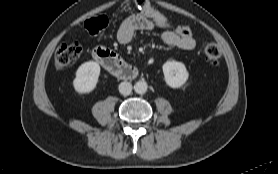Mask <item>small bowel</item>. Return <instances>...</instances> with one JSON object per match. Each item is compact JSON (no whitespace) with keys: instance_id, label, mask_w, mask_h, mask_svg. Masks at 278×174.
Returning <instances> with one entry per match:
<instances>
[{"instance_id":"c3829d8e","label":"small bowel","mask_w":278,"mask_h":174,"mask_svg":"<svg viewBox=\"0 0 278 174\" xmlns=\"http://www.w3.org/2000/svg\"><path fill=\"white\" fill-rule=\"evenodd\" d=\"M156 24L146 14H134L125 19L120 25L117 32V39L122 44L130 43L135 34L139 31L152 30ZM161 40L174 48L191 51L196 46V41L193 37L183 38L170 30H164L161 35Z\"/></svg>"}]
</instances>
